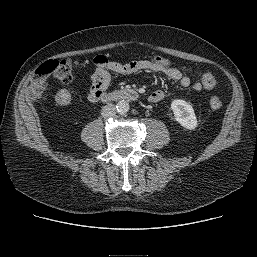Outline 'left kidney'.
<instances>
[{
    "label": "left kidney",
    "mask_w": 257,
    "mask_h": 257,
    "mask_svg": "<svg viewBox=\"0 0 257 257\" xmlns=\"http://www.w3.org/2000/svg\"><path fill=\"white\" fill-rule=\"evenodd\" d=\"M175 120L186 129H194L197 127V119L194 109L188 102L176 99L171 103Z\"/></svg>",
    "instance_id": "5707ae66"
}]
</instances>
